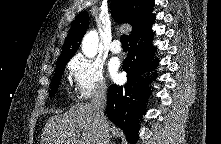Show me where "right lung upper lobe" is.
Masks as SVG:
<instances>
[{
    "mask_svg": "<svg viewBox=\"0 0 221 144\" xmlns=\"http://www.w3.org/2000/svg\"><path fill=\"white\" fill-rule=\"evenodd\" d=\"M154 0H111V14L115 21L132 26L129 39L144 32L152 26L155 15L152 13ZM89 26L86 11L75 19L58 58V64L67 63L80 46L82 37Z\"/></svg>",
    "mask_w": 221,
    "mask_h": 144,
    "instance_id": "cb5924a9",
    "label": "right lung upper lobe"
}]
</instances>
